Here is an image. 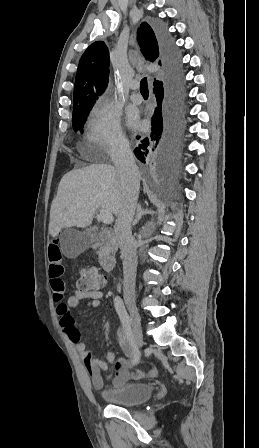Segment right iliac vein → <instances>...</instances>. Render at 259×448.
I'll return each instance as SVG.
<instances>
[{"label":"right iliac vein","instance_id":"obj_1","mask_svg":"<svg viewBox=\"0 0 259 448\" xmlns=\"http://www.w3.org/2000/svg\"><path fill=\"white\" fill-rule=\"evenodd\" d=\"M127 307L131 317L132 332L135 339L137 347L141 348L143 346V334L141 329V317L133 300H127Z\"/></svg>","mask_w":259,"mask_h":448}]
</instances>
